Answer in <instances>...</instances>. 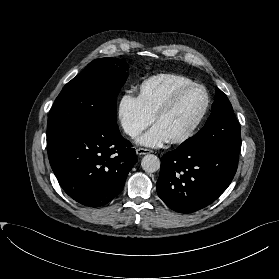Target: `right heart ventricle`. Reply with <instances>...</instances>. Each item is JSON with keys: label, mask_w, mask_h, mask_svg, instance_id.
Masks as SVG:
<instances>
[{"label": "right heart ventricle", "mask_w": 279, "mask_h": 279, "mask_svg": "<svg viewBox=\"0 0 279 279\" xmlns=\"http://www.w3.org/2000/svg\"><path fill=\"white\" fill-rule=\"evenodd\" d=\"M191 83L192 79L181 74L159 73L139 85L138 97L146 112L154 117L177 89Z\"/></svg>", "instance_id": "e07e8e85"}]
</instances>
